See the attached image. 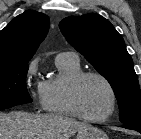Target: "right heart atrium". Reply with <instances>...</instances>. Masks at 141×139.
Here are the masks:
<instances>
[{
    "label": "right heart atrium",
    "mask_w": 141,
    "mask_h": 139,
    "mask_svg": "<svg viewBox=\"0 0 141 139\" xmlns=\"http://www.w3.org/2000/svg\"><path fill=\"white\" fill-rule=\"evenodd\" d=\"M37 73V63L35 60H31L26 68L25 71V82L30 90V95L36 105L39 108L44 109V100H43V94H42V82H35V77ZM35 82V89H33V83Z\"/></svg>",
    "instance_id": "right-heart-atrium-1"
}]
</instances>
